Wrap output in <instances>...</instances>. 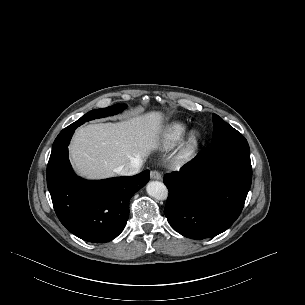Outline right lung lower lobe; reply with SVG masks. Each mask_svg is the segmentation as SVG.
I'll use <instances>...</instances> for the list:
<instances>
[{"mask_svg": "<svg viewBox=\"0 0 305 305\" xmlns=\"http://www.w3.org/2000/svg\"><path fill=\"white\" fill-rule=\"evenodd\" d=\"M80 125H69L55 139L47 165V186L61 223L82 240L104 243L124 229L129 200L149 181L150 172L98 181L76 176L69 162L68 145Z\"/></svg>", "mask_w": 305, "mask_h": 305, "instance_id": "98d812e1", "label": "right lung lower lobe"}]
</instances>
